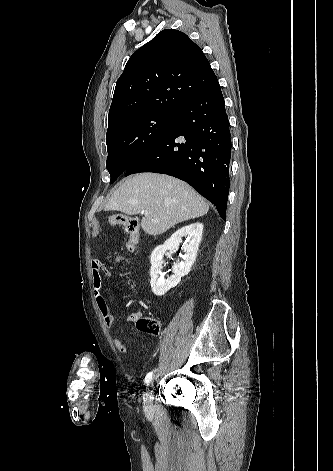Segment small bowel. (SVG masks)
I'll use <instances>...</instances> for the list:
<instances>
[{
	"label": "small bowel",
	"mask_w": 333,
	"mask_h": 471,
	"mask_svg": "<svg viewBox=\"0 0 333 471\" xmlns=\"http://www.w3.org/2000/svg\"><path fill=\"white\" fill-rule=\"evenodd\" d=\"M91 270H92V281H93V289H94V297L96 300V304L104 318L105 324L108 328H111L120 315L113 313L107 305L105 300L103 289H102V282L103 276L111 277L113 274L110 272L105 264L99 260L95 259L91 263ZM141 317V313H133L128 318V322H135ZM114 345L116 349L123 354L128 352L127 346L124 344L123 340L120 338L114 339Z\"/></svg>",
	"instance_id": "small-bowel-1"
}]
</instances>
